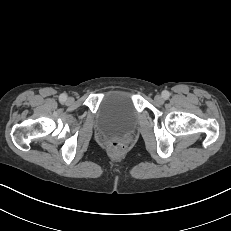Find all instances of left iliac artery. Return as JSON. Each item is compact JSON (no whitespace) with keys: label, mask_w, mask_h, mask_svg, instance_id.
<instances>
[{"label":"left iliac artery","mask_w":231,"mask_h":231,"mask_svg":"<svg viewBox=\"0 0 231 231\" xmlns=\"http://www.w3.org/2000/svg\"><path fill=\"white\" fill-rule=\"evenodd\" d=\"M162 97H163L164 99H168V98L170 97V92L167 91V90H164V91L162 92Z\"/></svg>","instance_id":"obj_1"}]
</instances>
